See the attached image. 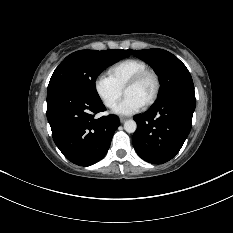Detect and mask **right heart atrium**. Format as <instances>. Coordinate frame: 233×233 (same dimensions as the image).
<instances>
[{"label": "right heart atrium", "mask_w": 233, "mask_h": 233, "mask_svg": "<svg viewBox=\"0 0 233 233\" xmlns=\"http://www.w3.org/2000/svg\"><path fill=\"white\" fill-rule=\"evenodd\" d=\"M94 90L103 105L113 108L122 96V89L105 74H99L94 80Z\"/></svg>", "instance_id": "1"}]
</instances>
